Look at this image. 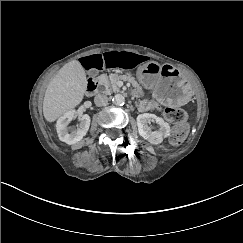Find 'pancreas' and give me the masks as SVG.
Listing matches in <instances>:
<instances>
[{"mask_svg":"<svg viewBox=\"0 0 243 243\" xmlns=\"http://www.w3.org/2000/svg\"><path fill=\"white\" fill-rule=\"evenodd\" d=\"M98 80L102 84L105 83L106 86H111L113 92H117L119 90L117 83L120 80H127L128 83L132 82V84L135 86L136 89L142 90V87L137 82L135 77L130 75H120L118 73H110V74L100 75L98 77Z\"/></svg>","mask_w":243,"mask_h":243,"instance_id":"pancreas-1","label":"pancreas"}]
</instances>
